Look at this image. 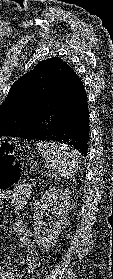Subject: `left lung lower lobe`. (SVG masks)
Instances as JSON below:
<instances>
[{
  "instance_id": "obj_1",
  "label": "left lung lower lobe",
  "mask_w": 113,
  "mask_h": 279,
  "mask_svg": "<svg viewBox=\"0 0 113 279\" xmlns=\"http://www.w3.org/2000/svg\"><path fill=\"white\" fill-rule=\"evenodd\" d=\"M19 138L48 141L75 147L87 155L89 111L87 94L74 70L67 66L50 93L35 107Z\"/></svg>"
}]
</instances>
